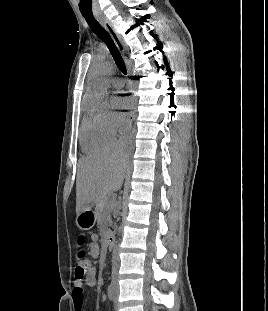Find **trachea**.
Returning a JSON list of instances; mask_svg holds the SVG:
<instances>
[{
    "mask_svg": "<svg viewBox=\"0 0 268 311\" xmlns=\"http://www.w3.org/2000/svg\"><path fill=\"white\" fill-rule=\"evenodd\" d=\"M91 30L107 45L118 69L127 74L124 60L109 33L98 23L93 15L82 14Z\"/></svg>",
    "mask_w": 268,
    "mask_h": 311,
    "instance_id": "1",
    "label": "trachea"
}]
</instances>
